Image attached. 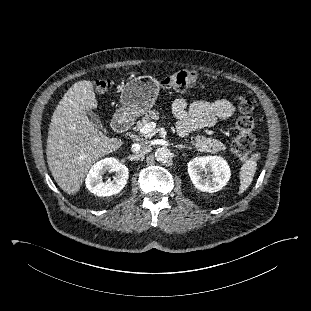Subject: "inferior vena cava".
Masks as SVG:
<instances>
[{
  "label": "inferior vena cava",
  "instance_id": "obj_1",
  "mask_svg": "<svg viewBox=\"0 0 311 311\" xmlns=\"http://www.w3.org/2000/svg\"><path fill=\"white\" fill-rule=\"evenodd\" d=\"M150 147V144L148 141H143L140 144L139 143H135L132 145L131 150L134 153L139 152L140 150H147Z\"/></svg>",
  "mask_w": 311,
  "mask_h": 311
}]
</instances>
